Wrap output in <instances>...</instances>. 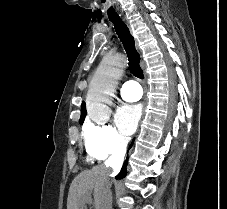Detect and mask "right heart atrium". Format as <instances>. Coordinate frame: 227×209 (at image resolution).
<instances>
[{
	"instance_id": "d8ad5b80",
	"label": "right heart atrium",
	"mask_w": 227,
	"mask_h": 209,
	"mask_svg": "<svg viewBox=\"0 0 227 209\" xmlns=\"http://www.w3.org/2000/svg\"><path fill=\"white\" fill-rule=\"evenodd\" d=\"M83 139L88 154L106 160L125 153L129 137L111 124H86Z\"/></svg>"
}]
</instances>
